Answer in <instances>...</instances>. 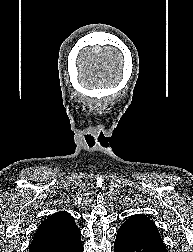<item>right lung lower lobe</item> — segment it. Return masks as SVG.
<instances>
[{
  "label": "right lung lower lobe",
  "instance_id": "98d812e1",
  "mask_svg": "<svg viewBox=\"0 0 193 252\" xmlns=\"http://www.w3.org/2000/svg\"><path fill=\"white\" fill-rule=\"evenodd\" d=\"M29 252H83L80 231L70 234L64 240L32 247Z\"/></svg>",
  "mask_w": 193,
  "mask_h": 252
}]
</instances>
